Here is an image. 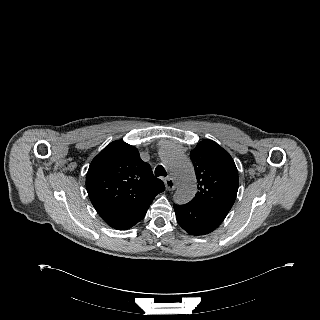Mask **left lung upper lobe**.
I'll return each mask as SVG.
<instances>
[{
	"label": "left lung upper lobe",
	"instance_id": "left-lung-upper-lobe-1",
	"mask_svg": "<svg viewBox=\"0 0 320 320\" xmlns=\"http://www.w3.org/2000/svg\"><path fill=\"white\" fill-rule=\"evenodd\" d=\"M198 182L192 202L229 212L238 191V171L232 157L206 139L190 152Z\"/></svg>",
	"mask_w": 320,
	"mask_h": 320
}]
</instances>
